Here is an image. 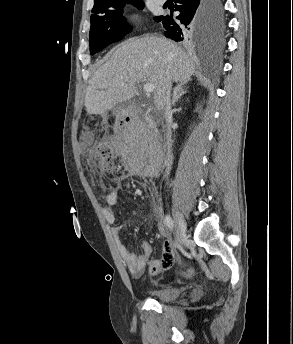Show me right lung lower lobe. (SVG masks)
I'll use <instances>...</instances> for the list:
<instances>
[{
	"instance_id": "98d812e1",
	"label": "right lung lower lobe",
	"mask_w": 293,
	"mask_h": 344,
	"mask_svg": "<svg viewBox=\"0 0 293 344\" xmlns=\"http://www.w3.org/2000/svg\"><path fill=\"white\" fill-rule=\"evenodd\" d=\"M176 17L183 25H178L172 15L158 16L155 21L162 22L166 29L164 35L175 41H193L205 49H213L222 38L223 19L217 22V0H174ZM220 6L222 4L220 0ZM223 14V9H222Z\"/></svg>"
}]
</instances>
